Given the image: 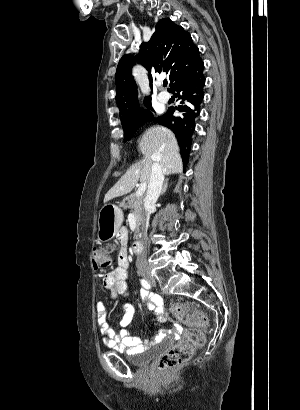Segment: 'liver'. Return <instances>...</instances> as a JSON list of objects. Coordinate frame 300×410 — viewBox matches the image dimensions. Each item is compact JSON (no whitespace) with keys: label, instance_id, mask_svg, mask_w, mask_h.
<instances>
[{"label":"liver","instance_id":"obj_1","mask_svg":"<svg viewBox=\"0 0 300 410\" xmlns=\"http://www.w3.org/2000/svg\"><path fill=\"white\" fill-rule=\"evenodd\" d=\"M139 151L144 158L132 165L119 181L107 192L104 202L130 193L138 181L149 184L151 166L158 162L164 174L183 171L179 146L172 131L162 126L149 128L139 140Z\"/></svg>","mask_w":300,"mask_h":410}]
</instances>
